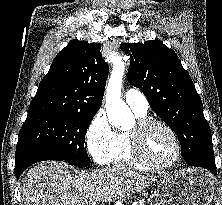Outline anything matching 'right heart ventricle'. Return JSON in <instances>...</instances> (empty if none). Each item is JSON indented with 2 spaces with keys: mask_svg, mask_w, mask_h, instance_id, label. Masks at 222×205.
<instances>
[{
  "mask_svg": "<svg viewBox=\"0 0 222 205\" xmlns=\"http://www.w3.org/2000/svg\"><path fill=\"white\" fill-rule=\"evenodd\" d=\"M134 113L138 118H143L145 116V114L137 111H134ZM107 164L111 166L137 168L142 170L150 169L135 157L128 131L116 133L114 147L109 155Z\"/></svg>",
  "mask_w": 222,
  "mask_h": 205,
  "instance_id": "right-heart-ventricle-1",
  "label": "right heart ventricle"
}]
</instances>
